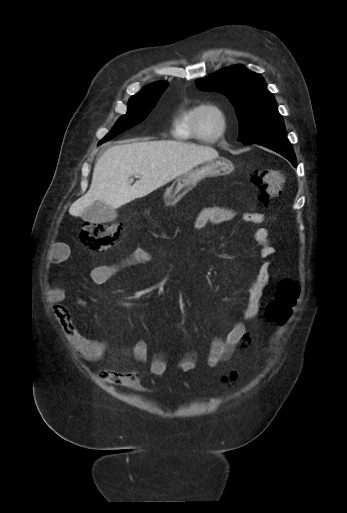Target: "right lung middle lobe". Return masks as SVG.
<instances>
[{"label":"right lung middle lobe","instance_id":"right-lung-middle-lobe-1","mask_svg":"<svg viewBox=\"0 0 347 513\" xmlns=\"http://www.w3.org/2000/svg\"><path fill=\"white\" fill-rule=\"evenodd\" d=\"M167 82H157L147 86L131 97L128 103V112L122 116L112 130L101 141L102 143L124 132L144 120L155 107L160 95L167 87Z\"/></svg>","mask_w":347,"mask_h":513}]
</instances>
